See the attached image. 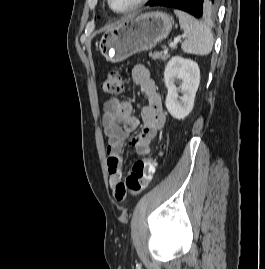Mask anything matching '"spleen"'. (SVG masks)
Here are the masks:
<instances>
[{
	"label": "spleen",
	"instance_id": "3e777b00",
	"mask_svg": "<svg viewBox=\"0 0 265 269\" xmlns=\"http://www.w3.org/2000/svg\"><path fill=\"white\" fill-rule=\"evenodd\" d=\"M174 14L178 17L180 27L186 34L181 45L183 52L201 56L208 55L213 48L211 29L184 11L174 9Z\"/></svg>",
	"mask_w": 265,
	"mask_h": 269
}]
</instances>
